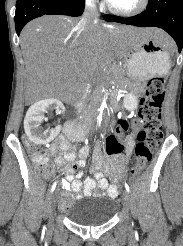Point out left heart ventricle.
<instances>
[{"label":"left heart ventricle","mask_w":183,"mask_h":246,"mask_svg":"<svg viewBox=\"0 0 183 246\" xmlns=\"http://www.w3.org/2000/svg\"><path fill=\"white\" fill-rule=\"evenodd\" d=\"M110 2L118 8L130 9L136 6L139 0H110Z\"/></svg>","instance_id":"obj_1"}]
</instances>
